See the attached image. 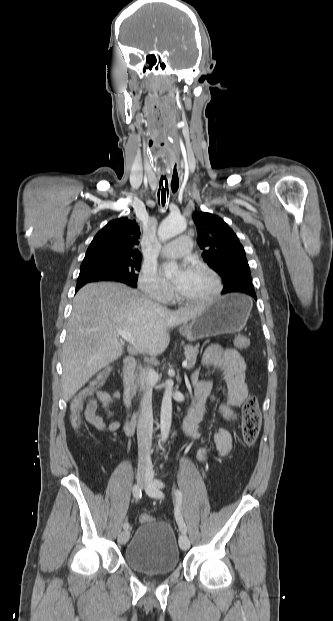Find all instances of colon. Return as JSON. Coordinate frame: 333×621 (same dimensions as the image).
<instances>
[{"label": "colon", "instance_id": "obj_1", "mask_svg": "<svg viewBox=\"0 0 333 621\" xmlns=\"http://www.w3.org/2000/svg\"><path fill=\"white\" fill-rule=\"evenodd\" d=\"M235 343L238 348L246 349L249 346V339L245 336H239L236 338ZM108 374L109 369L101 371L74 396L70 406V419L75 429L79 430L82 427L81 410L85 399L91 396L104 383ZM261 422L262 415L258 399L250 395L242 406V434L246 445L252 446L255 444L260 432ZM139 520L141 523H147L152 521L153 518L148 514H142Z\"/></svg>", "mask_w": 333, "mask_h": 621}]
</instances>
